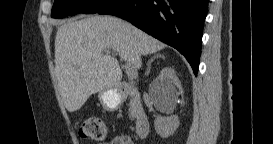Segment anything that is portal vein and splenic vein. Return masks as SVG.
Segmentation results:
<instances>
[{"label": "portal vein and splenic vein", "mask_w": 273, "mask_h": 144, "mask_svg": "<svg viewBox=\"0 0 273 144\" xmlns=\"http://www.w3.org/2000/svg\"><path fill=\"white\" fill-rule=\"evenodd\" d=\"M126 72L129 79L134 80L137 78V72L128 63L126 65Z\"/></svg>", "instance_id": "1"}]
</instances>
